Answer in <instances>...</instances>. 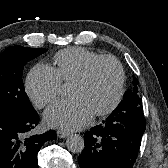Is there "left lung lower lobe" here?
<instances>
[{
	"instance_id": "1",
	"label": "left lung lower lobe",
	"mask_w": 168,
	"mask_h": 168,
	"mask_svg": "<svg viewBox=\"0 0 168 168\" xmlns=\"http://www.w3.org/2000/svg\"><path fill=\"white\" fill-rule=\"evenodd\" d=\"M145 128L143 107L116 108L85 133L80 168H132Z\"/></svg>"
}]
</instances>
